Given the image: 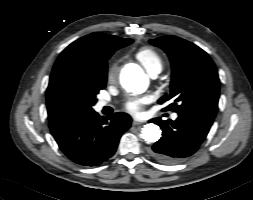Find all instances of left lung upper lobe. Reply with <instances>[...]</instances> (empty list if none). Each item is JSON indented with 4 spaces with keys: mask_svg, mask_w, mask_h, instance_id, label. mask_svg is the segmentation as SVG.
Masks as SVG:
<instances>
[{
    "mask_svg": "<svg viewBox=\"0 0 253 200\" xmlns=\"http://www.w3.org/2000/svg\"><path fill=\"white\" fill-rule=\"evenodd\" d=\"M162 48L172 64L170 92L159 103L170 101L165 110L202 113L215 117L219 99V77L209 55L195 44L167 35L150 40Z\"/></svg>",
    "mask_w": 253,
    "mask_h": 200,
    "instance_id": "obj_1",
    "label": "left lung upper lobe"
}]
</instances>
